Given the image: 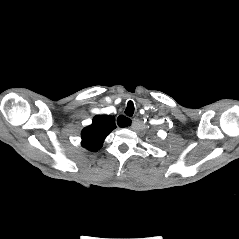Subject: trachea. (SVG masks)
Segmentation results:
<instances>
[{"instance_id":"1","label":"trachea","mask_w":239,"mask_h":239,"mask_svg":"<svg viewBox=\"0 0 239 239\" xmlns=\"http://www.w3.org/2000/svg\"><path fill=\"white\" fill-rule=\"evenodd\" d=\"M125 114L129 117H132L133 114H134V104L132 101H129L127 103V107H126V110H125Z\"/></svg>"}]
</instances>
